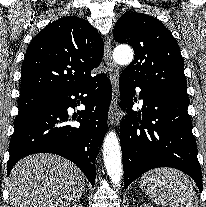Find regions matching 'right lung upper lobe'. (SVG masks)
<instances>
[{
    "instance_id": "1",
    "label": "right lung upper lobe",
    "mask_w": 206,
    "mask_h": 207,
    "mask_svg": "<svg viewBox=\"0 0 206 207\" xmlns=\"http://www.w3.org/2000/svg\"><path fill=\"white\" fill-rule=\"evenodd\" d=\"M104 43L98 31L75 16L47 25L30 42L21 68V97L52 94L94 77Z\"/></svg>"
}]
</instances>
